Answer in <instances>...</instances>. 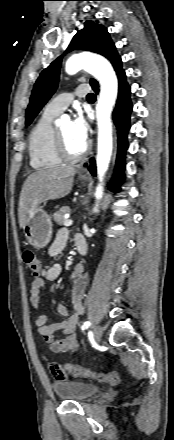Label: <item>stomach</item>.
Returning <instances> with one entry per match:
<instances>
[{"mask_svg": "<svg viewBox=\"0 0 174 440\" xmlns=\"http://www.w3.org/2000/svg\"><path fill=\"white\" fill-rule=\"evenodd\" d=\"M79 179L88 180L85 176H80ZM24 232L27 241L36 249L44 248L49 243L52 236V221L42 207L35 210L33 217L24 226Z\"/></svg>", "mask_w": 174, "mask_h": 440, "instance_id": "stomach-1", "label": "stomach"}]
</instances>
